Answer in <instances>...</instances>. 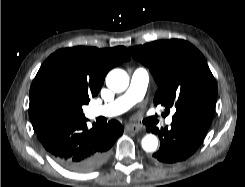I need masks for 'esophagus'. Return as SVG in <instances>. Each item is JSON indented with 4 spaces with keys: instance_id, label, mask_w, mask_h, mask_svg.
<instances>
[{
    "instance_id": "obj_1",
    "label": "esophagus",
    "mask_w": 245,
    "mask_h": 187,
    "mask_svg": "<svg viewBox=\"0 0 245 187\" xmlns=\"http://www.w3.org/2000/svg\"><path fill=\"white\" fill-rule=\"evenodd\" d=\"M125 130L127 132H134V133H137V132H140L142 131L143 129L137 125H133V124H128L125 126Z\"/></svg>"
}]
</instances>
